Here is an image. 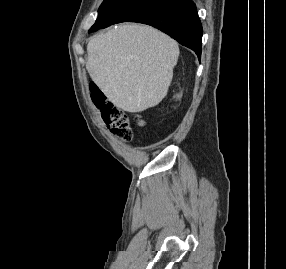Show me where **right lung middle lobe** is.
Here are the masks:
<instances>
[{"label":"right lung middle lobe","mask_w":286,"mask_h":269,"mask_svg":"<svg viewBox=\"0 0 286 269\" xmlns=\"http://www.w3.org/2000/svg\"><path fill=\"white\" fill-rule=\"evenodd\" d=\"M159 0H104L98 17L89 32L128 21L130 18Z\"/></svg>","instance_id":"obj_1"}]
</instances>
